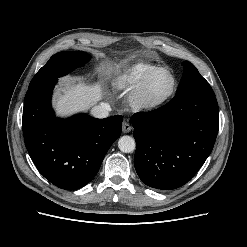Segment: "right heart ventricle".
<instances>
[{
    "label": "right heart ventricle",
    "instance_id": "obj_1",
    "mask_svg": "<svg viewBox=\"0 0 247 247\" xmlns=\"http://www.w3.org/2000/svg\"><path fill=\"white\" fill-rule=\"evenodd\" d=\"M156 67L148 61H138L132 63L118 71L113 79L114 85L118 89H132L145 72Z\"/></svg>",
    "mask_w": 247,
    "mask_h": 247
}]
</instances>
